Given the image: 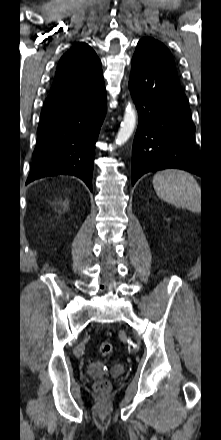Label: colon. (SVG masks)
<instances>
[{
  "mask_svg": "<svg viewBox=\"0 0 221 440\" xmlns=\"http://www.w3.org/2000/svg\"><path fill=\"white\" fill-rule=\"evenodd\" d=\"M113 351V345L110 342H103L98 346V353L102 356L110 355ZM97 391L105 393L110 388V383L107 380H100L95 384Z\"/></svg>",
  "mask_w": 221,
  "mask_h": 440,
  "instance_id": "obj_1",
  "label": "colon"
}]
</instances>
